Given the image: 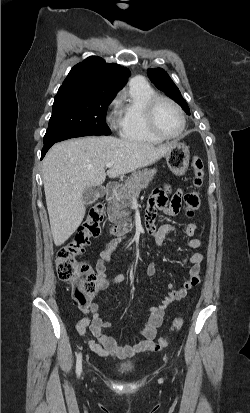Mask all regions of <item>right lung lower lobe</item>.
<instances>
[{"label":"right lung lower lobe","mask_w":250,"mask_h":413,"mask_svg":"<svg viewBox=\"0 0 250 413\" xmlns=\"http://www.w3.org/2000/svg\"><path fill=\"white\" fill-rule=\"evenodd\" d=\"M90 135L100 136L101 134L92 133V132H73V133H69V134H66V135H62V136H60L59 138H57L56 140H54L52 142L44 143V147L42 149L41 159L45 156L48 149L56 142H60V141H63V140L69 139V138L90 136Z\"/></svg>","instance_id":"98d812e1"}]
</instances>
